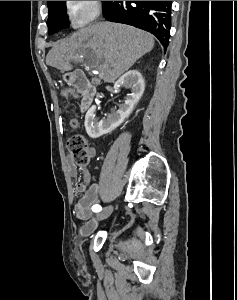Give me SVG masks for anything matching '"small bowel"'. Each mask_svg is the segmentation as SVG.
I'll use <instances>...</instances> for the list:
<instances>
[{
  "mask_svg": "<svg viewBox=\"0 0 237 300\" xmlns=\"http://www.w3.org/2000/svg\"><path fill=\"white\" fill-rule=\"evenodd\" d=\"M70 126L76 129L79 126L78 119L72 118L70 120ZM88 154L90 158H93L96 155V150L90 148ZM67 167L72 177H76L79 171L82 174V181L76 185L77 192L82 193V196L75 206L74 214L77 219L87 221L80 229L82 234H87L96 227V222L92 218V207L96 205L101 198L100 190L102 188H116L117 183L104 177L101 178L99 184L93 183L89 170L86 167L78 168L71 159L67 160Z\"/></svg>",
  "mask_w": 237,
  "mask_h": 300,
  "instance_id": "1",
  "label": "small bowel"
}]
</instances>
